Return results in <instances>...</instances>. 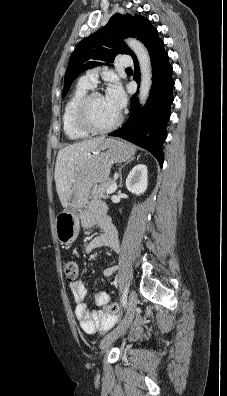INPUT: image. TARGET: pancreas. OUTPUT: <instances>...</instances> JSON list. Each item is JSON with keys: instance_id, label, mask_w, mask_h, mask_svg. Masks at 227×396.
Wrapping results in <instances>:
<instances>
[{"instance_id": "cf45deb5", "label": "pancreas", "mask_w": 227, "mask_h": 396, "mask_svg": "<svg viewBox=\"0 0 227 396\" xmlns=\"http://www.w3.org/2000/svg\"><path fill=\"white\" fill-rule=\"evenodd\" d=\"M115 183L114 180H108L104 183L99 185H95L90 192V196L92 198H99V199H108L109 195L107 194V190Z\"/></svg>"}]
</instances>
